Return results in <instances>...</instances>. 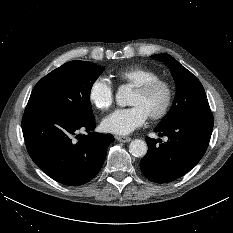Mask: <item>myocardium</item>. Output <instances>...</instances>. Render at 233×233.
<instances>
[{
    "label": "myocardium",
    "instance_id": "f54148a6",
    "mask_svg": "<svg viewBox=\"0 0 233 233\" xmlns=\"http://www.w3.org/2000/svg\"><path fill=\"white\" fill-rule=\"evenodd\" d=\"M157 87H163L165 89L166 98H165V102L163 106L161 107V109L157 113L149 116V119L152 121L161 120L169 113L170 108L173 103V99H174V89H173L172 84L166 79L157 78V79H153L148 82H145L134 88L135 92L141 95H146L152 92Z\"/></svg>",
    "mask_w": 233,
    "mask_h": 233
}]
</instances>
